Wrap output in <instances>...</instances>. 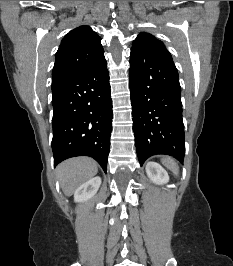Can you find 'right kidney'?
<instances>
[{
	"label": "right kidney",
	"instance_id": "obj_1",
	"mask_svg": "<svg viewBox=\"0 0 233 266\" xmlns=\"http://www.w3.org/2000/svg\"><path fill=\"white\" fill-rule=\"evenodd\" d=\"M101 185V178L94 177L87 182L83 183L77 188L74 193L75 202H84L92 198L98 191Z\"/></svg>",
	"mask_w": 233,
	"mask_h": 266
}]
</instances>
